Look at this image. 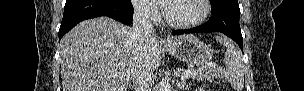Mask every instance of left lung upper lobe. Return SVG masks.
Here are the masks:
<instances>
[{"mask_svg": "<svg viewBox=\"0 0 304 91\" xmlns=\"http://www.w3.org/2000/svg\"><path fill=\"white\" fill-rule=\"evenodd\" d=\"M237 0H210L211 4V11L212 13L218 11L220 8H222L224 5L230 3V2H235Z\"/></svg>", "mask_w": 304, "mask_h": 91, "instance_id": "obj_1", "label": "left lung upper lobe"}]
</instances>
